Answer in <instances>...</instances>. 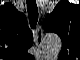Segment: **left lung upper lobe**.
Segmentation results:
<instances>
[{
    "mask_svg": "<svg viewBox=\"0 0 80 60\" xmlns=\"http://www.w3.org/2000/svg\"><path fill=\"white\" fill-rule=\"evenodd\" d=\"M73 6L69 2L61 1L51 14L46 15L44 20V30L55 32L62 39V51L73 50V27H72Z\"/></svg>",
    "mask_w": 80,
    "mask_h": 60,
    "instance_id": "1",
    "label": "left lung upper lobe"
}]
</instances>
